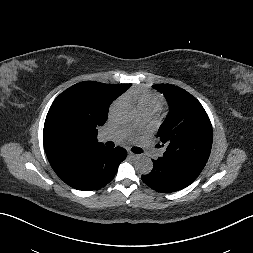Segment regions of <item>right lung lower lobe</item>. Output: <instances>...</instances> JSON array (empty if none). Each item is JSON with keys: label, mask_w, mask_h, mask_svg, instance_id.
<instances>
[{"label": "right lung lower lobe", "mask_w": 253, "mask_h": 253, "mask_svg": "<svg viewBox=\"0 0 253 253\" xmlns=\"http://www.w3.org/2000/svg\"><path fill=\"white\" fill-rule=\"evenodd\" d=\"M126 156V150L121 147L99 146L78 150L49 162L66 184L77 190L89 191L108 184Z\"/></svg>", "instance_id": "98d812e1"}]
</instances>
